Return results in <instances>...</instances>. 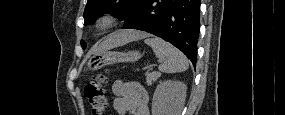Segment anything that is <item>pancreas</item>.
<instances>
[{
	"instance_id": "cf45deb5",
	"label": "pancreas",
	"mask_w": 285,
	"mask_h": 115,
	"mask_svg": "<svg viewBox=\"0 0 285 115\" xmlns=\"http://www.w3.org/2000/svg\"><path fill=\"white\" fill-rule=\"evenodd\" d=\"M159 77H161L160 72H147L146 82L148 85H152Z\"/></svg>"
}]
</instances>
